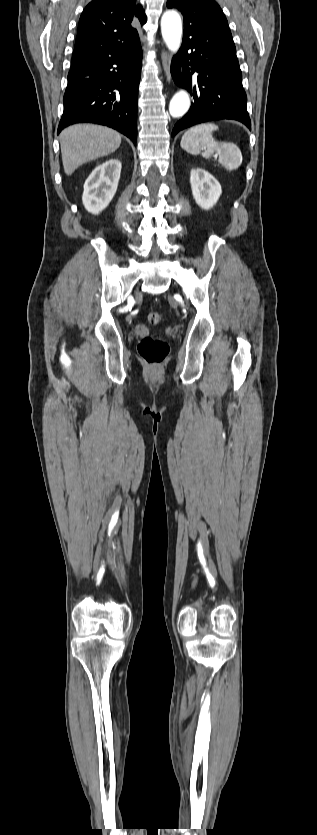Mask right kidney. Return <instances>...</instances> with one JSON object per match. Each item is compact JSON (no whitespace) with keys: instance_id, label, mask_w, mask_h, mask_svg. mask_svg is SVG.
<instances>
[{"instance_id":"obj_1","label":"right kidney","mask_w":317,"mask_h":835,"mask_svg":"<svg viewBox=\"0 0 317 835\" xmlns=\"http://www.w3.org/2000/svg\"><path fill=\"white\" fill-rule=\"evenodd\" d=\"M122 164L111 158L94 168L84 184L83 205L92 214L102 212L113 199Z\"/></svg>"}]
</instances>
